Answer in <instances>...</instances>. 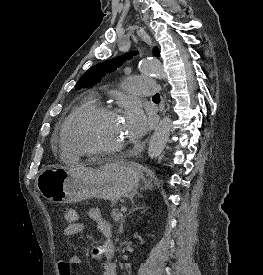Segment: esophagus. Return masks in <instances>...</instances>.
<instances>
[{
    "label": "esophagus",
    "instance_id": "34e87169",
    "mask_svg": "<svg viewBox=\"0 0 263 275\" xmlns=\"http://www.w3.org/2000/svg\"><path fill=\"white\" fill-rule=\"evenodd\" d=\"M163 107H164V98H162V108H161V111L163 110Z\"/></svg>",
    "mask_w": 263,
    "mask_h": 275
}]
</instances>
